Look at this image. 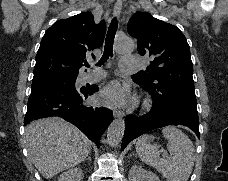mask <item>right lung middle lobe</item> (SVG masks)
<instances>
[{
	"instance_id": "1",
	"label": "right lung middle lobe",
	"mask_w": 228,
	"mask_h": 181,
	"mask_svg": "<svg viewBox=\"0 0 228 181\" xmlns=\"http://www.w3.org/2000/svg\"><path fill=\"white\" fill-rule=\"evenodd\" d=\"M76 78H77V76L48 78V79L33 81L32 85L42 84V83H67V82H75Z\"/></svg>"
}]
</instances>
